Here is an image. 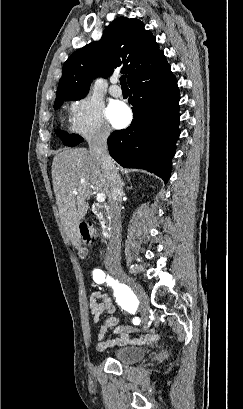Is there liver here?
I'll return each mask as SVG.
<instances>
[{
  "mask_svg": "<svg viewBox=\"0 0 243 409\" xmlns=\"http://www.w3.org/2000/svg\"><path fill=\"white\" fill-rule=\"evenodd\" d=\"M52 182L66 234L71 243L79 247V224L89 209L86 200L93 191L108 196L106 173L99 159L87 149H66L56 154L53 159ZM74 191L77 194H74Z\"/></svg>",
  "mask_w": 243,
  "mask_h": 409,
  "instance_id": "6515ba94",
  "label": "liver"
}]
</instances>
